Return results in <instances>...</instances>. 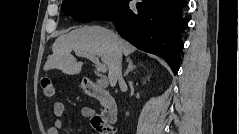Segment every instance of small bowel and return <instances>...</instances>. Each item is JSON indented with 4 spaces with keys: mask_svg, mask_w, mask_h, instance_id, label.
I'll use <instances>...</instances> for the list:
<instances>
[{
    "mask_svg": "<svg viewBox=\"0 0 239 134\" xmlns=\"http://www.w3.org/2000/svg\"><path fill=\"white\" fill-rule=\"evenodd\" d=\"M53 113L56 120L54 125L47 130V134H61L63 127L61 118L65 113V105L62 102H56L53 105ZM81 113L83 117L91 118L94 115V110L90 107H84Z\"/></svg>",
    "mask_w": 239,
    "mask_h": 134,
    "instance_id": "c3829d8e",
    "label": "small bowel"
}]
</instances>
